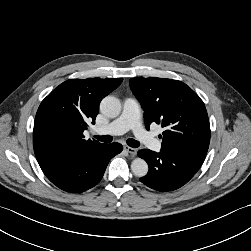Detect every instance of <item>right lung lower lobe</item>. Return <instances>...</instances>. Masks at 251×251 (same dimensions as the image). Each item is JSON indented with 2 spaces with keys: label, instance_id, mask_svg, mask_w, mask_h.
<instances>
[{
  "label": "right lung lower lobe",
  "instance_id": "right-lung-lower-lobe-1",
  "mask_svg": "<svg viewBox=\"0 0 251 251\" xmlns=\"http://www.w3.org/2000/svg\"><path fill=\"white\" fill-rule=\"evenodd\" d=\"M122 149L119 143L103 144L72 157H57L38 163L55 186L70 193H80L101 180L109 161Z\"/></svg>",
  "mask_w": 251,
  "mask_h": 251
}]
</instances>
